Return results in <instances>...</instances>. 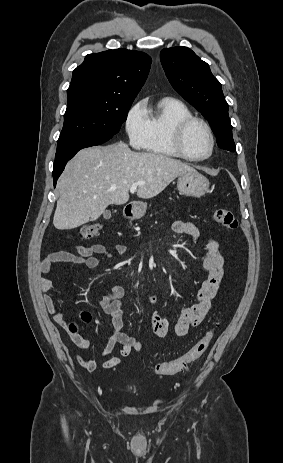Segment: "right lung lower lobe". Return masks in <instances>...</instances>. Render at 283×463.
I'll use <instances>...</instances> for the list:
<instances>
[{
    "label": "right lung lower lobe",
    "mask_w": 283,
    "mask_h": 463,
    "mask_svg": "<svg viewBox=\"0 0 283 463\" xmlns=\"http://www.w3.org/2000/svg\"><path fill=\"white\" fill-rule=\"evenodd\" d=\"M109 139L110 138L83 139L57 146L53 167L54 186H56L57 179L64 170L66 163L73 158L79 150L86 147L100 145Z\"/></svg>",
    "instance_id": "right-lung-lower-lobe-1"
}]
</instances>
